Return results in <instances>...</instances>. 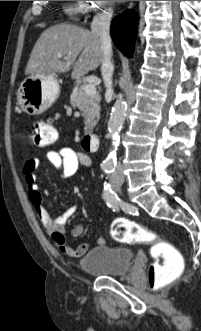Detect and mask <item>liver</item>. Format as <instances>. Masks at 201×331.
Here are the masks:
<instances>
[{
    "instance_id": "obj_1",
    "label": "liver",
    "mask_w": 201,
    "mask_h": 331,
    "mask_svg": "<svg viewBox=\"0 0 201 331\" xmlns=\"http://www.w3.org/2000/svg\"><path fill=\"white\" fill-rule=\"evenodd\" d=\"M58 53L62 57L59 58ZM102 61L103 49L98 35L75 25L57 24L46 29L35 43L25 74L63 73L73 66L71 77L79 79L96 70Z\"/></svg>"
}]
</instances>
